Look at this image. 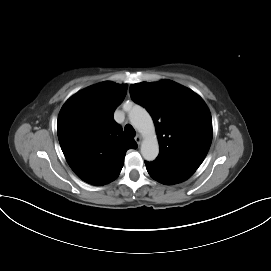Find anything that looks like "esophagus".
Here are the masks:
<instances>
[{
    "instance_id": "34e87169",
    "label": "esophagus",
    "mask_w": 271,
    "mask_h": 271,
    "mask_svg": "<svg viewBox=\"0 0 271 271\" xmlns=\"http://www.w3.org/2000/svg\"><path fill=\"white\" fill-rule=\"evenodd\" d=\"M135 141H136V143L139 145L140 143H141V141H142V137L140 136V135H136L135 136Z\"/></svg>"
}]
</instances>
